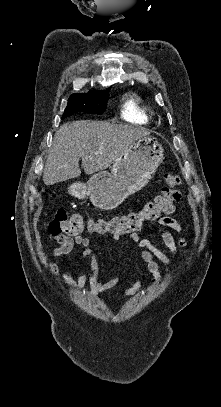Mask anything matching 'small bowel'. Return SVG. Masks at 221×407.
Listing matches in <instances>:
<instances>
[{
    "instance_id": "c3829d8e",
    "label": "small bowel",
    "mask_w": 221,
    "mask_h": 407,
    "mask_svg": "<svg viewBox=\"0 0 221 407\" xmlns=\"http://www.w3.org/2000/svg\"><path fill=\"white\" fill-rule=\"evenodd\" d=\"M152 227L161 238L165 248L176 255L179 249H184L187 246V240L182 237L175 240L169 229L175 232H182L183 226L173 217L166 216L157 221H154ZM113 240H118L119 236H111ZM57 243V247L51 252V259L48 262V268L51 274L58 279L68 290L77 292L85 284L90 286V294L92 297H97L100 293L115 288L118 285V277H113L110 280L101 282L99 279V263L92 248V242L89 238L76 236L74 238L64 235L53 238ZM129 239L136 244V249L140 253V258L146 265L148 272L151 275V286L158 285L164 276L170 273V260L168 256L157 249L154 244L147 240L141 239L138 234L133 233L129 235ZM79 252L84 259H89V265L84 267L78 277L74 278L68 275L66 278L59 277L58 265L55 258L63 257ZM140 281H137L131 288L121 291L123 296H130L134 294L140 287Z\"/></svg>"
}]
</instances>
